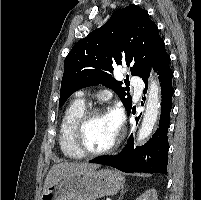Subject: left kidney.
Returning <instances> with one entry per match:
<instances>
[{
  "label": "left kidney",
  "instance_id": "5707ae66",
  "mask_svg": "<svg viewBox=\"0 0 201 200\" xmlns=\"http://www.w3.org/2000/svg\"><path fill=\"white\" fill-rule=\"evenodd\" d=\"M136 200H158L157 192L155 189H149L140 195V197Z\"/></svg>",
  "mask_w": 201,
  "mask_h": 200
}]
</instances>
